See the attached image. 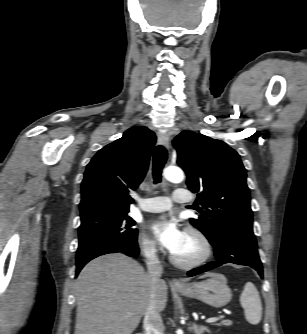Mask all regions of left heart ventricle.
<instances>
[{
  "label": "left heart ventricle",
  "instance_id": "b2bd125f",
  "mask_svg": "<svg viewBox=\"0 0 307 334\" xmlns=\"http://www.w3.org/2000/svg\"><path fill=\"white\" fill-rule=\"evenodd\" d=\"M201 248L199 241L189 234H185L183 245L173 254L182 260H190L200 254Z\"/></svg>",
  "mask_w": 307,
  "mask_h": 334
}]
</instances>
